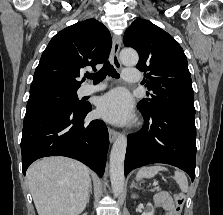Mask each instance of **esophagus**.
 I'll return each mask as SVG.
<instances>
[{
  "label": "esophagus",
  "instance_id": "obj_1",
  "mask_svg": "<svg viewBox=\"0 0 223 215\" xmlns=\"http://www.w3.org/2000/svg\"><path fill=\"white\" fill-rule=\"evenodd\" d=\"M120 47H121L120 36L113 35L111 59H112V64L118 70L122 68V64L119 60ZM118 135H119L118 131H115L114 129L109 128V140L111 143L114 142V140L117 138Z\"/></svg>",
  "mask_w": 223,
  "mask_h": 215
}]
</instances>
